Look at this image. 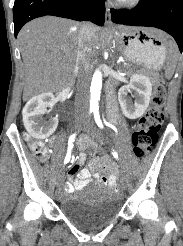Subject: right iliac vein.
<instances>
[{
  "label": "right iliac vein",
  "instance_id": "63e3f726",
  "mask_svg": "<svg viewBox=\"0 0 183 246\" xmlns=\"http://www.w3.org/2000/svg\"><path fill=\"white\" fill-rule=\"evenodd\" d=\"M82 128V123L81 122H76L75 124V129L79 131Z\"/></svg>",
  "mask_w": 183,
  "mask_h": 246
}]
</instances>
